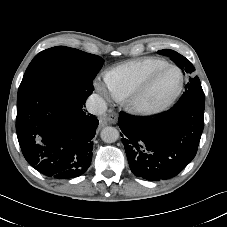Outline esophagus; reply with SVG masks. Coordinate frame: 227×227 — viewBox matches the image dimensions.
<instances>
[{"label": "esophagus", "mask_w": 227, "mask_h": 227, "mask_svg": "<svg viewBox=\"0 0 227 227\" xmlns=\"http://www.w3.org/2000/svg\"><path fill=\"white\" fill-rule=\"evenodd\" d=\"M117 119H118V114L115 113V112H111L108 114L107 116V120L110 122V123H113L115 124L117 122ZM105 121V119L101 120L102 124L103 122Z\"/></svg>", "instance_id": "obj_1"}]
</instances>
